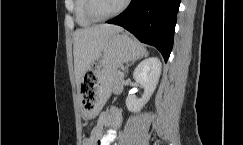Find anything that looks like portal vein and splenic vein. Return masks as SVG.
<instances>
[{
	"label": "portal vein and splenic vein",
	"instance_id": "18ae733b",
	"mask_svg": "<svg viewBox=\"0 0 243 145\" xmlns=\"http://www.w3.org/2000/svg\"><path fill=\"white\" fill-rule=\"evenodd\" d=\"M121 76H124V73H120Z\"/></svg>",
	"mask_w": 243,
	"mask_h": 145
}]
</instances>
